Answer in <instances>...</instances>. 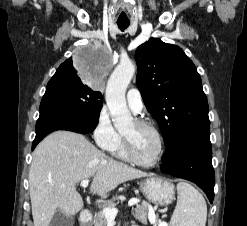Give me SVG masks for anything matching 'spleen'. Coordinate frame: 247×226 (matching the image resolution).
I'll list each match as a JSON object with an SVG mask.
<instances>
[{
    "mask_svg": "<svg viewBox=\"0 0 247 226\" xmlns=\"http://www.w3.org/2000/svg\"><path fill=\"white\" fill-rule=\"evenodd\" d=\"M177 205L170 226H205L207 205L204 197L189 183L177 184Z\"/></svg>",
    "mask_w": 247,
    "mask_h": 226,
    "instance_id": "1",
    "label": "spleen"
}]
</instances>
